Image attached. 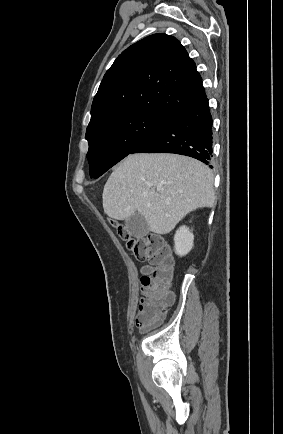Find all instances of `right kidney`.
<instances>
[{
  "label": "right kidney",
  "instance_id": "1",
  "mask_svg": "<svg viewBox=\"0 0 283 434\" xmlns=\"http://www.w3.org/2000/svg\"><path fill=\"white\" fill-rule=\"evenodd\" d=\"M194 235L186 226H181L175 234V253L180 256L188 254L193 247Z\"/></svg>",
  "mask_w": 283,
  "mask_h": 434
}]
</instances>
